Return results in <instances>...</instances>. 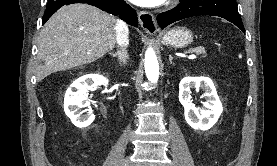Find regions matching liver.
<instances>
[{
	"instance_id": "liver-1",
	"label": "liver",
	"mask_w": 277,
	"mask_h": 166,
	"mask_svg": "<svg viewBox=\"0 0 277 166\" xmlns=\"http://www.w3.org/2000/svg\"><path fill=\"white\" fill-rule=\"evenodd\" d=\"M118 19L87 4L59 9L44 25L38 42L37 80L95 62L112 50Z\"/></svg>"
}]
</instances>
